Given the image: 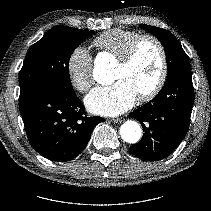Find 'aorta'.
<instances>
[{
	"label": "aorta",
	"instance_id": "1",
	"mask_svg": "<svg viewBox=\"0 0 211 211\" xmlns=\"http://www.w3.org/2000/svg\"><path fill=\"white\" fill-rule=\"evenodd\" d=\"M94 79L102 85H110L114 82V75L111 68L100 62L95 61V68L93 70ZM141 127L136 121L128 120L124 122L120 128V135L125 142L137 143L141 137Z\"/></svg>",
	"mask_w": 211,
	"mask_h": 211
}]
</instances>
